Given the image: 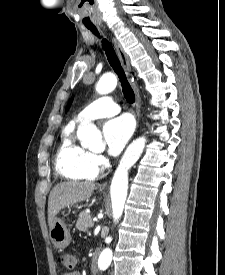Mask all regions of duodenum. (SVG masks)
I'll list each match as a JSON object with an SVG mask.
<instances>
[{"label":"duodenum","mask_w":225,"mask_h":275,"mask_svg":"<svg viewBox=\"0 0 225 275\" xmlns=\"http://www.w3.org/2000/svg\"><path fill=\"white\" fill-rule=\"evenodd\" d=\"M90 270L92 274H94L97 270V263L95 257L92 258V261L90 263Z\"/></svg>","instance_id":"duodenum-1"}]
</instances>
